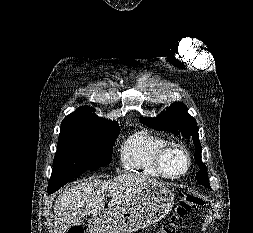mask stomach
Masks as SVG:
<instances>
[{"mask_svg":"<svg viewBox=\"0 0 253 233\" xmlns=\"http://www.w3.org/2000/svg\"><path fill=\"white\" fill-rule=\"evenodd\" d=\"M174 193L166 186L143 189L114 209L94 215L91 233H132L161 220L173 207Z\"/></svg>","mask_w":253,"mask_h":233,"instance_id":"1","label":"stomach"}]
</instances>
